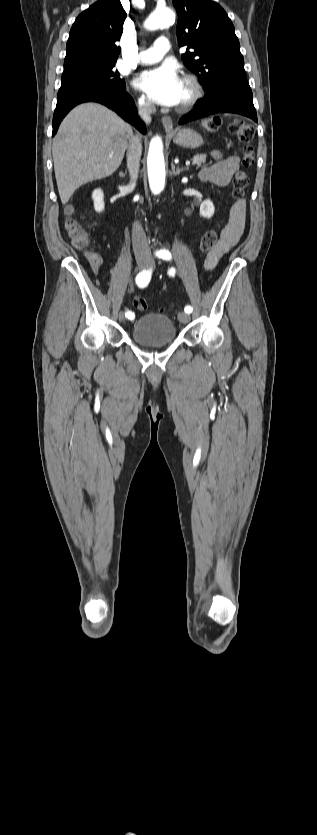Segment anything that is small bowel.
Here are the masks:
<instances>
[{"label": "small bowel", "instance_id": "small-bowel-1", "mask_svg": "<svg viewBox=\"0 0 317 835\" xmlns=\"http://www.w3.org/2000/svg\"><path fill=\"white\" fill-rule=\"evenodd\" d=\"M239 168L240 159L238 156H223L221 152L214 151L212 161L200 170L198 179L202 182H210L223 187L230 183L231 178L238 172ZM245 218L244 206H235L231 212L229 223L222 231L220 240L203 261V267L206 270L215 268L220 258L238 243L244 232ZM103 262L104 258L101 255L94 254L91 256L90 264L94 270H97Z\"/></svg>", "mask_w": 317, "mask_h": 835}]
</instances>
